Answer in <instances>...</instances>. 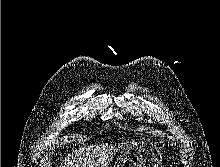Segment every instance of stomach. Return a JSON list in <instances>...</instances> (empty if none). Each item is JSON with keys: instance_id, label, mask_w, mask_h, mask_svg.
Returning a JSON list of instances; mask_svg holds the SVG:
<instances>
[{"instance_id": "1", "label": "stomach", "mask_w": 220, "mask_h": 167, "mask_svg": "<svg viewBox=\"0 0 220 167\" xmlns=\"http://www.w3.org/2000/svg\"><path fill=\"white\" fill-rule=\"evenodd\" d=\"M161 161L162 154L156 145L132 142L117 147L108 167H159Z\"/></svg>"}]
</instances>
